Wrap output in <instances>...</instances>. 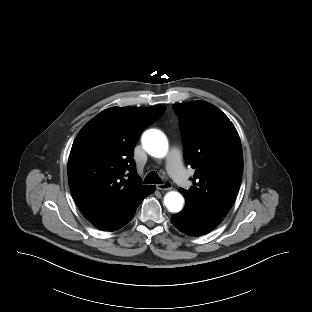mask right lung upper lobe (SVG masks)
I'll list each match as a JSON object with an SVG mask.
<instances>
[{
    "instance_id": "cb5924a9",
    "label": "right lung upper lobe",
    "mask_w": 312,
    "mask_h": 312,
    "mask_svg": "<svg viewBox=\"0 0 312 312\" xmlns=\"http://www.w3.org/2000/svg\"><path fill=\"white\" fill-rule=\"evenodd\" d=\"M165 109L111 107L78 133L68 161L69 187L76 204L96 228L106 231L118 226L148 187L136 173L133 148L142 130Z\"/></svg>"
}]
</instances>
